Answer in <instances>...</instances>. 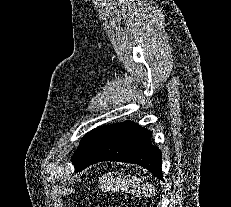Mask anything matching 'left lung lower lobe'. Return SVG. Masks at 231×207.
Segmentation results:
<instances>
[{
  "mask_svg": "<svg viewBox=\"0 0 231 207\" xmlns=\"http://www.w3.org/2000/svg\"><path fill=\"white\" fill-rule=\"evenodd\" d=\"M150 137V131L131 121L104 125L75 167V172L100 161H122L141 165L163 180L161 151L151 144Z\"/></svg>",
  "mask_w": 231,
  "mask_h": 207,
  "instance_id": "1",
  "label": "left lung lower lobe"
}]
</instances>
